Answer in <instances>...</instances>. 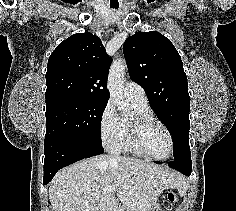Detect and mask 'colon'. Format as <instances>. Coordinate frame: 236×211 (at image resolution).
<instances>
[{
  "mask_svg": "<svg viewBox=\"0 0 236 211\" xmlns=\"http://www.w3.org/2000/svg\"><path fill=\"white\" fill-rule=\"evenodd\" d=\"M168 198L172 202H176L179 199V196L176 193H169Z\"/></svg>",
  "mask_w": 236,
  "mask_h": 211,
  "instance_id": "5ec220e1",
  "label": "colon"
}]
</instances>
